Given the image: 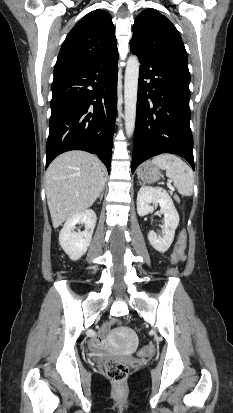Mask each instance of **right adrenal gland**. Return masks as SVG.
<instances>
[{
    "instance_id": "2a0ac1e0",
    "label": "right adrenal gland",
    "mask_w": 233,
    "mask_h": 413,
    "mask_svg": "<svg viewBox=\"0 0 233 413\" xmlns=\"http://www.w3.org/2000/svg\"><path fill=\"white\" fill-rule=\"evenodd\" d=\"M103 194H104V190H102V192L99 194V196H98V198H100V201L102 200V198H103Z\"/></svg>"
}]
</instances>
